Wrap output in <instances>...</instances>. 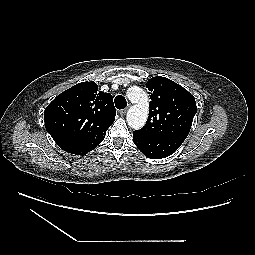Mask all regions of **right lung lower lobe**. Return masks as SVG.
<instances>
[{
    "label": "right lung lower lobe",
    "instance_id": "right-lung-lower-lobe-1",
    "mask_svg": "<svg viewBox=\"0 0 255 255\" xmlns=\"http://www.w3.org/2000/svg\"><path fill=\"white\" fill-rule=\"evenodd\" d=\"M104 137H105V136H104ZM103 139H104V138H103ZM103 139H101V141L97 142V143L94 144L92 147H90L89 150H88V152H90V151H91L92 149H94L99 143H101ZM88 152H87V153H88Z\"/></svg>",
    "mask_w": 255,
    "mask_h": 255
}]
</instances>
